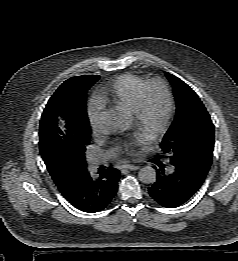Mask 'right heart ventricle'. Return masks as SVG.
I'll return each mask as SVG.
<instances>
[{"label":"right heart ventricle","mask_w":238,"mask_h":261,"mask_svg":"<svg viewBox=\"0 0 238 261\" xmlns=\"http://www.w3.org/2000/svg\"><path fill=\"white\" fill-rule=\"evenodd\" d=\"M145 82L146 78L140 75H121L108 88L99 93L97 101L100 105L110 104L127 113H132L138 93Z\"/></svg>","instance_id":"obj_1"}]
</instances>
